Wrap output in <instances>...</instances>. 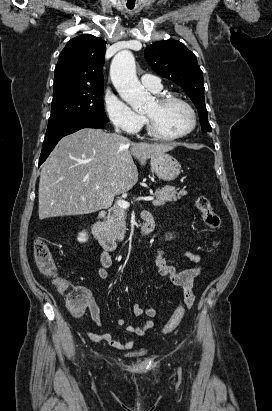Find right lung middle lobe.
<instances>
[{"label":"right lung middle lobe","mask_w":272,"mask_h":411,"mask_svg":"<svg viewBox=\"0 0 272 411\" xmlns=\"http://www.w3.org/2000/svg\"><path fill=\"white\" fill-rule=\"evenodd\" d=\"M82 119L108 122L103 106V85L70 88L53 93L46 133Z\"/></svg>","instance_id":"obj_1"}]
</instances>
